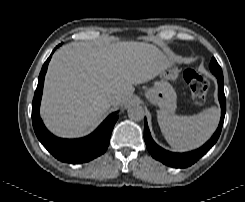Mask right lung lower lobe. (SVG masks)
Returning a JSON list of instances; mask_svg holds the SVG:
<instances>
[{
    "instance_id": "98d812e1",
    "label": "right lung lower lobe",
    "mask_w": 245,
    "mask_h": 202,
    "mask_svg": "<svg viewBox=\"0 0 245 202\" xmlns=\"http://www.w3.org/2000/svg\"><path fill=\"white\" fill-rule=\"evenodd\" d=\"M54 52V51H53ZM52 55L44 63L38 86L32 102V123L35 134L43 146L58 160L67 163L88 162L103 154L110 141L111 132L118 120L117 113H113L90 135L80 139H63L51 134L44 126L39 107L42 97L44 77Z\"/></svg>"
}]
</instances>
